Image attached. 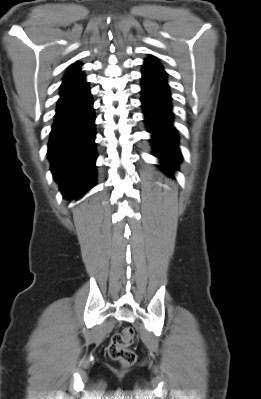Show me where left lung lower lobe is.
<instances>
[{"label":"left lung lower lobe","mask_w":261,"mask_h":399,"mask_svg":"<svg viewBox=\"0 0 261 399\" xmlns=\"http://www.w3.org/2000/svg\"><path fill=\"white\" fill-rule=\"evenodd\" d=\"M142 106L146 110L145 122L152 134L155 156L166 173L167 168H177L181 160L177 135L172 127L171 96L166 82V72L155 61H146L142 70Z\"/></svg>","instance_id":"left-lung-lower-lobe-1"}]
</instances>
